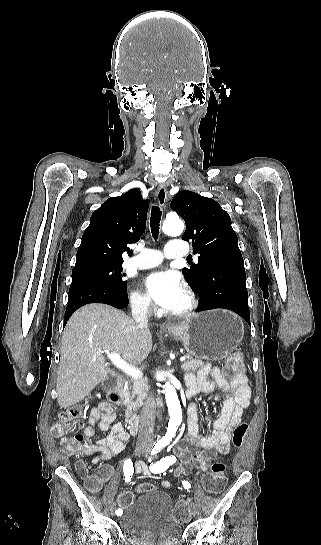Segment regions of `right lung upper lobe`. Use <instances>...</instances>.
<instances>
[{"instance_id": "cb5924a9", "label": "right lung upper lobe", "mask_w": 321, "mask_h": 545, "mask_svg": "<svg viewBox=\"0 0 321 545\" xmlns=\"http://www.w3.org/2000/svg\"><path fill=\"white\" fill-rule=\"evenodd\" d=\"M148 206L137 189L106 200L83 233L74 269L122 264V254H132L126 245L138 241L145 231Z\"/></svg>"}]
</instances>
